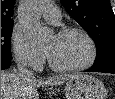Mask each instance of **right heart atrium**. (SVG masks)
<instances>
[{
  "instance_id": "d8ad5b80",
  "label": "right heart atrium",
  "mask_w": 115,
  "mask_h": 99,
  "mask_svg": "<svg viewBox=\"0 0 115 99\" xmlns=\"http://www.w3.org/2000/svg\"><path fill=\"white\" fill-rule=\"evenodd\" d=\"M11 51L16 62L24 67L37 69L44 61L43 55L35 51L27 38L18 30L12 33Z\"/></svg>"
}]
</instances>
